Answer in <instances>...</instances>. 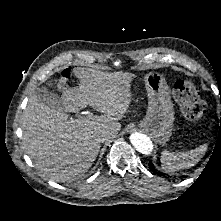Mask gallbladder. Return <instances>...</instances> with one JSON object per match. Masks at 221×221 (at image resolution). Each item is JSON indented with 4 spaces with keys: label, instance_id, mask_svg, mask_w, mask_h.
I'll use <instances>...</instances> for the list:
<instances>
[{
    "label": "gallbladder",
    "instance_id": "1",
    "mask_svg": "<svg viewBox=\"0 0 221 221\" xmlns=\"http://www.w3.org/2000/svg\"><path fill=\"white\" fill-rule=\"evenodd\" d=\"M35 94L39 97L40 101L46 106L54 108L56 110H64V106L60 97L48 91L46 88H37Z\"/></svg>",
    "mask_w": 221,
    "mask_h": 221
}]
</instances>
